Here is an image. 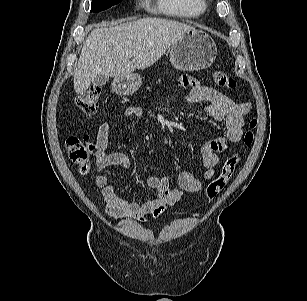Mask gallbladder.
Segmentation results:
<instances>
[{"mask_svg": "<svg viewBox=\"0 0 307 301\" xmlns=\"http://www.w3.org/2000/svg\"><path fill=\"white\" fill-rule=\"evenodd\" d=\"M108 81V77L105 75H98L97 77H95L93 84L95 86L101 87L103 85H105Z\"/></svg>", "mask_w": 307, "mask_h": 301, "instance_id": "bac80fb5", "label": "gallbladder"}]
</instances>
